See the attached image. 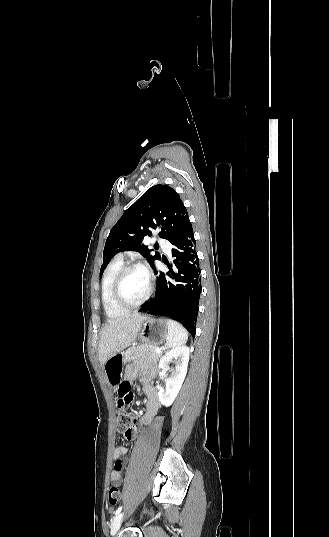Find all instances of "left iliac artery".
Returning <instances> with one entry per match:
<instances>
[{
	"instance_id": "1",
	"label": "left iliac artery",
	"mask_w": 329,
	"mask_h": 537,
	"mask_svg": "<svg viewBox=\"0 0 329 537\" xmlns=\"http://www.w3.org/2000/svg\"><path fill=\"white\" fill-rule=\"evenodd\" d=\"M122 510V506L118 507L117 510L114 512L115 515H118Z\"/></svg>"
}]
</instances>
